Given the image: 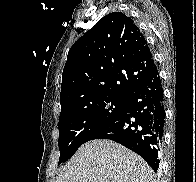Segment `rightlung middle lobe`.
I'll return each instance as SVG.
<instances>
[{"label":"right lung middle lobe","mask_w":196,"mask_h":182,"mask_svg":"<svg viewBox=\"0 0 196 182\" xmlns=\"http://www.w3.org/2000/svg\"><path fill=\"white\" fill-rule=\"evenodd\" d=\"M127 98L99 97L60 113L59 164L71 158L77 149L123 111Z\"/></svg>","instance_id":"obj_1"}]
</instances>
